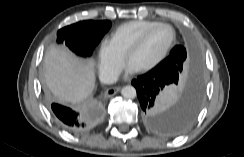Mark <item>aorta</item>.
I'll return each mask as SVG.
<instances>
[{
    "label": "aorta",
    "mask_w": 244,
    "mask_h": 157,
    "mask_svg": "<svg viewBox=\"0 0 244 157\" xmlns=\"http://www.w3.org/2000/svg\"><path fill=\"white\" fill-rule=\"evenodd\" d=\"M121 94L127 99H134L136 97V89L133 86L127 85L122 88Z\"/></svg>",
    "instance_id": "1"
}]
</instances>
